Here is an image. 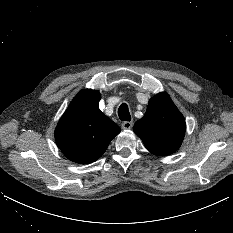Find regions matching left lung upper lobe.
<instances>
[{
  "mask_svg": "<svg viewBox=\"0 0 233 233\" xmlns=\"http://www.w3.org/2000/svg\"><path fill=\"white\" fill-rule=\"evenodd\" d=\"M133 129L148 151L166 156L179 149L186 124L168 94L159 93L150 99L144 117L135 123Z\"/></svg>",
  "mask_w": 233,
  "mask_h": 233,
  "instance_id": "obj_1",
  "label": "left lung upper lobe"
}]
</instances>
